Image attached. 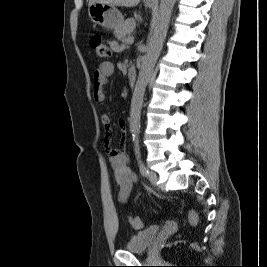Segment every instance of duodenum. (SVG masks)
I'll return each mask as SVG.
<instances>
[{
	"label": "duodenum",
	"instance_id": "1",
	"mask_svg": "<svg viewBox=\"0 0 267 267\" xmlns=\"http://www.w3.org/2000/svg\"><path fill=\"white\" fill-rule=\"evenodd\" d=\"M137 78V71L134 66L129 67L128 69V80L130 85H134Z\"/></svg>",
	"mask_w": 267,
	"mask_h": 267
}]
</instances>
